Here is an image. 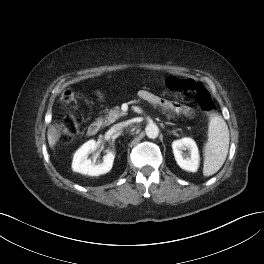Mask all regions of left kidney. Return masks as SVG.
<instances>
[{"label":"left kidney","mask_w":264,"mask_h":264,"mask_svg":"<svg viewBox=\"0 0 264 264\" xmlns=\"http://www.w3.org/2000/svg\"><path fill=\"white\" fill-rule=\"evenodd\" d=\"M172 149L177 164L184 170L196 172L199 167V150L195 141L185 137L180 140H175L172 143ZM189 151V156L184 155L183 150Z\"/></svg>","instance_id":"left-kidney-1"}]
</instances>
